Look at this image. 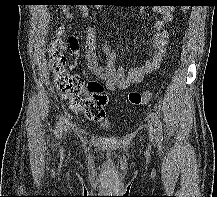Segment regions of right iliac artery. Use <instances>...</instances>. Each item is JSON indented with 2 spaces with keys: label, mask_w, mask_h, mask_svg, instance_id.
<instances>
[{
  "label": "right iliac artery",
  "mask_w": 217,
  "mask_h": 197,
  "mask_svg": "<svg viewBox=\"0 0 217 197\" xmlns=\"http://www.w3.org/2000/svg\"><path fill=\"white\" fill-rule=\"evenodd\" d=\"M62 128H63V121L62 119H60L57 123L56 130H55V134L57 138L61 137Z\"/></svg>",
  "instance_id": "82829eb1"
}]
</instances>
